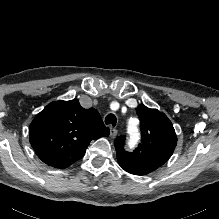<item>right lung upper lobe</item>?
Masks as SVG:
<instances>
[{
	"label": "right lung upper lobe",
	"mask_w": 219,
	"mask_h": 219,
	"mask_svg": "<svg viewBox=\"0 0 219 219\" xmlns=\"http://www.w3.org/2000/svg\"><path fill=\"white\" fill-rule=\"evenodd\" d=\"M109 135L98 111L78 100L48 104L29 127L30 143L47 165L64 169L81 159L93 139Z\"/></svg>",
	"instance_id": "1"
}]
</instances>
